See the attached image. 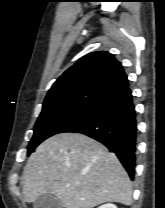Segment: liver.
<instances>
[{
	"mask_svg": "<svg viewBox=\"0 0 165 208\" xmlns=\"http://www.w3.org/2000/svg\"><path fill=\"white\" fill-rule=\"evenodd\" d=\"M22 187L28 203L47 193L65 208L132 203V184L116 155L80 133H60L42 142L27 161Z\"/></svg>",
	"mask_w": 165,
	"mask_h": 208,
	"instance_id": "obj_1",
	"label": "liver"
}]
</instances>
